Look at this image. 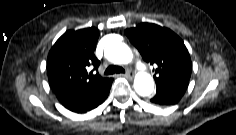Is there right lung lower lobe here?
I'll use <instances>...</instances> for the list:
<instances>
[{"instance_id":"right-lung-lower-lobe-1","label":"right lung lower lobe","mask_w":236,"mask_h":135,"mask_svg":"<svg viewBox=\"0 0 236 135\" xmlns=\"http://www.w3.org/2000/svg\"><path fill=\"white\" fill-rule=\"evenodd\" d=\"M112 78L106 79L97 87L77 92H62L56 96L61 104L75 113H86L102 104L110 91Z\"/></svg>"}]
</instances>
